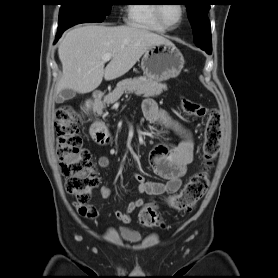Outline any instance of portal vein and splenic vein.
I'll return each instance as SVG.
<instances>
[{"label": "portal vein and splenic vein", "mask_w": 278, "mask_h": 278, "mask_svg": "<svg viewBox=\"0 0 278 278\" xmlns=\"http://www.w3.org/2000/svg\"><path fill=\"white\" fill-rule=\"evenodd\" d=\"M111 58H112V54L106 53V54L103 55L102 60H103V62H107V61H109Z\"/></svg>", "instance_id": "1"}]
</instances>
